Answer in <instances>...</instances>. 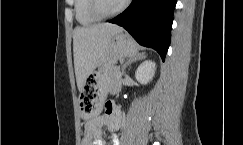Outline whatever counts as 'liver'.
Masks as SVG:
<instances>
[{"label": "liver", "mask_w": 243, "mask_h": 145, "mask_svg": "<svg viewBox=\"0 0 243 145\" xmlns=\"http://www.w3.org/2000/svg\"><path fill=\"white\" fill-rule=\"evenodd\" d=\"M123 28L109 23L78 26L73 31L74 68L77 87L83 90L86 79L100 62L114 35Z\"/></svg>", "instance_id": "obj_1"}]
</instances>
